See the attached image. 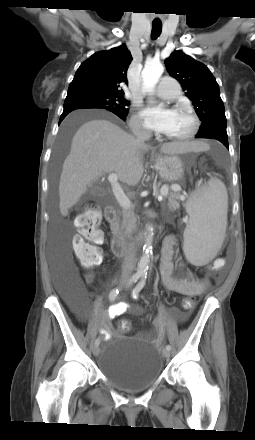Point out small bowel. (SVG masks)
Returning a JSON list of instances; mask_svg holds the SVG:
<instances>
[{"label":"small bowel","mask_w":255,"mask_h":440,"mask_svg":"<svg viewBox=\"0 0 255 440\" xmlns=\"http://www.w3.org/2000/svg\"><path fill=\"white\" fill-rule=\"evenodd\" d=\"M175 248V238L172 235L167 236L162 244L161 249V264L160 273L161 279L167 290L175 292L184 296H200L207 287V284L193 279L188 274L184 273L182 277H174V264L172 262ZM128 311L139 312L140 308L130 307L125 302L117 303L106 312L107 320L116 316L122 315ZM107 338L110 336V329L108 326L101 330Z\"/></svg>","instance_id":"small-bowel-1"}]
</instances>
